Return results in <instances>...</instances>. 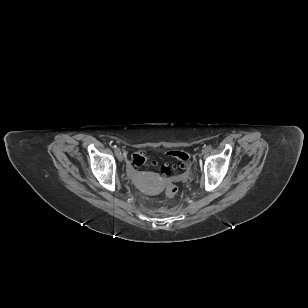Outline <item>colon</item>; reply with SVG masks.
<instances>
[{
    "mask_svg": "<svg viewBox=\"0 0 308 308\" xmlns=\"http://www.w3.org/2000/svg\"><path fill=\"white\" fill-rule=\"evenodd\" d=\"M170 156L176 158L179 163H178V168L183 169L187 166L188 164V160H189V156L182 151H171L168 153ZM132 164L136 165V166H143L146 164V157L143 153H135L132 156ZM162 171L164 173H169V168L168 167H163ZM178 192V187L175 183L173 182H169L166 186L165 189V194L167 197L169 198H173Z\"/></svg>",
    "mask_w": 308,
    "mask_h": 308,
    "instance_id": "obj_1",
    "label": "colon"
}]
</instances>
